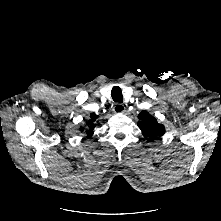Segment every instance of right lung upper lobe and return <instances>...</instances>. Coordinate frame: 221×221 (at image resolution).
<instances>
[{"label":"right lung upper lobe","instance_id":"obj_1","mask_svg":"<svg viewBox=\"0 0 221 221\" xmlns=\"http://www.w3.org/2000/svg\"><path fill=\"white\" fill-rule=\"evenodd\" d=\"M97 118L98 116L96 114L90 115V120L87 122V125H89V129H86L88 137H91L93 135L92 130L95 128L94 122L96 121ZM81 130L84 131L83 128H81Z\"/></svg>","mask_w":221,"mask_h":221}]
</instances>
